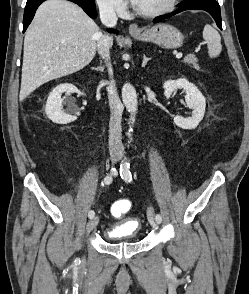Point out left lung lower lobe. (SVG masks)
<instances>
[{
    "label": "left lung lower lobe",
    "instance_id": "1",
    "mask_svg": "<svg viewBox=\"0 0 249 294\" xmlns=\"http://www.w3.org/2000/svg\"><path fill=\"white\" fill-rule=\"evenodd\" d=\"M185 10L207 11L214 18L217 26L222 30L220 6L215 0H185L181 3V6L176 11L164 16L156 17L153 19V22H159Z\"/></svg>",
    "mask_w": 249,
    "mask_h": 294
}]
</instances>
